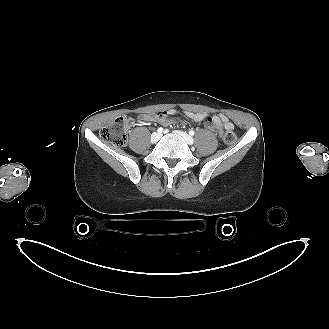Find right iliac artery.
Listing matches in <instances>:
<instances>
[{"label": "right iliac artery", "mask_w": 329, "mask_h": 329, "mask_svg": "<svg viewBox=\"0 0 329 329\" xmlns=\"http://www.w3.org/2000/svg\"><path fill=\"white\" fill-rule=\"evenodd\" d=\"M159 133H162L163 132V128H158V130H157Z\"/></svg>", "instance_id": "82829eb1"}]
</instances>
